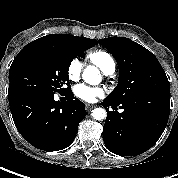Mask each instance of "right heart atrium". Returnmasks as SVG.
I'll list each match as a JSON object with an SVG mask.
<instances>
[{"instance_id": "d8ad5b80", "label": "right heart atrium", "mask_w": 178, "mask_h": 178, "mask_svg": "<svg viewBox=\"0 0 178 178\" xmlns=\"http://www.w3.org/2000/svg\"><path fill=\"white\" fill-rule=\"evenodd\" d=\"M82 70V63L78 59H73L67 68L68 78L72 81H77Z\"/></svg>"}]
</instances>
